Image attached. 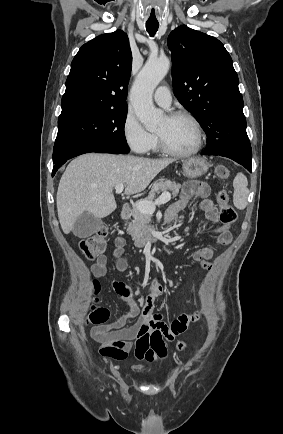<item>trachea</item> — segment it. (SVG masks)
<instances>
[{
	"label": "trachea",
	"mask_w": 283,
	"mask_h": 434,
	"mask_svg": "<svg viewBox=\"0 0 283 434\" xmlns=\"http://www.w3.org/2000/svg\"><path fill=\"white\" fill-rule=\"evenodd\" d=\"M159 28L157 22H146V30L150 36H154Z\"/></svg>",
	"instance_id": "obj_1"
}]
</instances>
